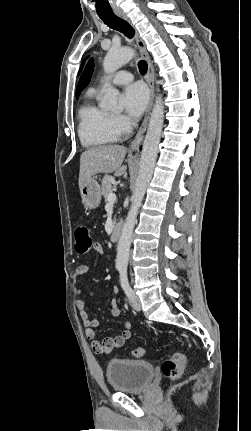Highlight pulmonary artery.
Returning a JSON list of instances; mask_svg holds the SVG:
<instances>
[{
	"label": "pulmonary artery",
	"instance_id": "1",
	"mask_svg": "<svg viewBox=\"0 0 251 431\" xmlns=\"http://www.w3.org/2000/svg\"><path fill=\"white\" fill-rule=\"evenodd\" d=\"M132 79H133V76L130 72L119 71L111 77V82L116 85H123L131 82Z\"/></svg>",
	"mask_w": 251,
	"mask_h": 431
}]
</instances>
